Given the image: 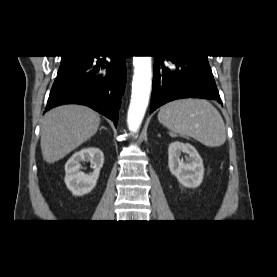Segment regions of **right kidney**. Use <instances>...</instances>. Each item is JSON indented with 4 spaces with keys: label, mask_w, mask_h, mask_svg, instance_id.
<instances>
[{
    "label": "right kidney",
    "mask_w": 277,
    "mask_h": 277,
    "mask_svg": "<svg viewBox=\"0 0 277 277\" xmlns=\"http://www.w3.org/2000/svg\"><path fill=\"white\" fill-rule=\"evenodd\" d=\"M88 160L93 173L88 175L80 171L81 161ZM104 163L103 152L98 148H85L76 152L65 164V184L75 196L85 195L93 190Z\"/></svg>",
    "instance_id": "1"
}]
</instances>
